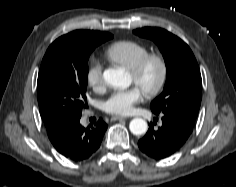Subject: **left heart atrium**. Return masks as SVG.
Returning a JSON list of instances; mask_svg holds the SVG:
<instances>
[{
    "label": "left heart atrium",
    "mask_w": 236,
    "mask_h": 187,
    "mask_svg": "<svg viewBox=\"0 0 236 187\" xmlns=\"http://www.w3.org/2000/svg\"><path fill=\"white\" fill-rule=\"evenodd\" d=\"M142 96V90L138 86H133L126 90L115 91L105 102L104 108L106 112L123 116L131 113L134 104H136Z\"/></svg>",
    "instance_id": "1"
}]
</instances>
